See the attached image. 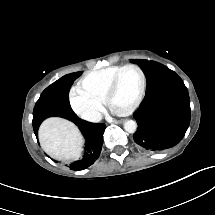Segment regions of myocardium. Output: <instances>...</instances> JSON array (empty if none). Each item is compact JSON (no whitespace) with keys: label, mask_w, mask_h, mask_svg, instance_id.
Instances as JSON below:
<instances>
[{"label":"myocardium","mask_w":215,"mask_h":215,"mask_svg":"<svg viewBox=\"0 0 215 215\" xmlns=\"http://www.w3.org/2000/svg\"><path fill=\"white\" fill-rule=\"evenodd\" d=\"M124 70H132L136 73L138 82L136 86V90L134 96L131 101H128L126 104L123 105H112L111 100L113 99L114 94L118 88L121 78L123 77ZM113 82L111 88L107 90L106 97L103 101L102 108L108 109L112 114L115 115H126L131 114L139 107V103L141 101L144 87H145V76L142 70L135 64H124L120 65L116 68V73L113 75Z\"/></svg>","instance_id":"obj_1"}]
</instances>
